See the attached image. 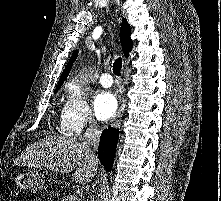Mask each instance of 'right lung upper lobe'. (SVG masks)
I'll return each mask as SVG.
<instances>
[{
	"mask_svg": "<svg viewBox=\"0 0 221 201\" xmlns=\"http://www.w3.org/2000/svg\"><path fill=\"white\" fill-rule=\"evenodd\" d=\"M130 35H131L130 25L127 23L126 19H123L119 36H120L122 50L124 52L125 57H128V54L132 50V46H133L132 39L130 38ZM76 58H77V50L73 53L66 68L64 69V71L60 77V80L58 82V86L56 87L55 91H58V89L63 84L64 80L67 78V76L70 72V69L73 65V62L75 61Z\"/></svg>",
	"mask_w": 221,
	"mask_h": 201,
	"instance_id": "right-lung-upper-lobe-1",
	"label": "right lung upper lobe"
}]
</instances>
